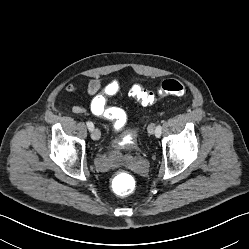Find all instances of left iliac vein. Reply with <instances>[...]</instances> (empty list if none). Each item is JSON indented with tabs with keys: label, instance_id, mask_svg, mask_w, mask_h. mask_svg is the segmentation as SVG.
Listing matches in <instances>:
<instances>
[{
	"label": "left iliac vein",
	"instance_id": "4c4485c4",
	"mask_svg": "<svg viewBox=\"0 0 249 249\" xmlns=\"http://www.w3.org/2000/svg\"><path fill=\"white\" fill-rule=\"evenodd\" d=\"M154 129H155L154 124H150V125L148 126V132H149L150 134H154V133H155Z\"/></svg>",
	"mask_w": 249,
	"mask_h": 249
}]
</instances>
